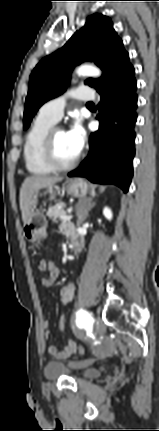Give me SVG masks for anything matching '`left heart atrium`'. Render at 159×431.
<instances>
[{
  "instance_id": "obj_1",
  "label": "left heart atrium",
  "mask_w": 159,
  "mask_h": 431,
  "mask_svg": "<svg viewBox=\"0 0 159 431\" xmlns=\"http://www.w3.org/2000/svg\"><path fill=\"white\" fill-rule=\"evenodd\" d=\"M66 137L73 150L79 154L85 143V132L81 125L74 123L66 132Z\"/></svg>"
}]
</instances>
